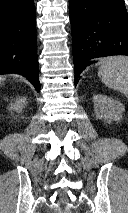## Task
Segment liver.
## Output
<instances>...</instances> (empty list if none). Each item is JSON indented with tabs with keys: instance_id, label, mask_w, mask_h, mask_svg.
I'll return each instance as SVG.
<instances>
[{
	"instance_id": "6515ba94",
	"label": "liver",
	"mask_w": 128,
	"mask_h": 213,
	"mask_svg": "<svg viewBox=\"0 0 128 213\" xmlns=\"http://www.w3.org/2000/svg\"><path fill=\"white\" fill-rule=\"evenodd\" d=\"M4 78L2 76H0V84H1V81L3 80Z\"/></svg>"
}]
</instances>
